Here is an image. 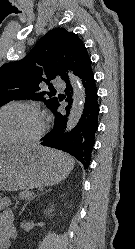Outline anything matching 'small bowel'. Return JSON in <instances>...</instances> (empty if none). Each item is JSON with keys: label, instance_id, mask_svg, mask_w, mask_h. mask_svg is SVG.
I'll return each instance as SVG.
<instances>
[{"label": "small bowel", "instance_id": "obj_1", "mask_svg": "<svg viewBox=\"0 0 135 249\" xmlns=\"http://www.w3.org/2000/svg\"><path fill=\"white\" fill-rule=\"evenodd\" d=\"M8 205V200L0 197V210ZM16 237L13 215L9 210L0 213V248L7 247L11 239Z\"/></svg>", "mask_w": 135, "mask_h": 249}]
</instances>
